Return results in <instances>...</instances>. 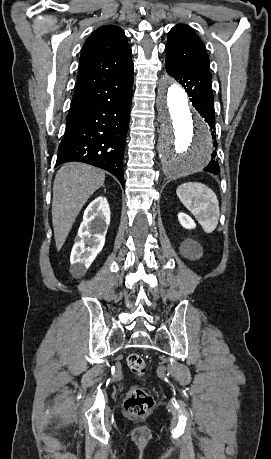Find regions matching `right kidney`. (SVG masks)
Instances as JSON below:
<instances>
[{
    "instance_id": "ca27d5eb",
    "label": "right kidney",
    "mask_w": 271,
    "mask_h": 459,
    "mask_svg": "<svg viewBox=\"0 0 271 459\" xmlns=\"http://www.w3.org/2000/svg\"><path fill=\"white\" fill-rule=\"evenodd\" d=\"M110 224V208L106 198L98 196L87 206L78 229L77 241L70 255L73 277H83L105 243Z\"/></svg>"
}]
</instances>
